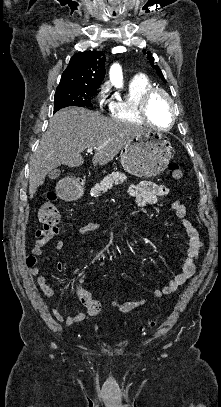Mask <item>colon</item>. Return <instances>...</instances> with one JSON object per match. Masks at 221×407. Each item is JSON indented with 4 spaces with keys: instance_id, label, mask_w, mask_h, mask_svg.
Wrapping results in <instances>:
<instances>
[{
    "instance_id": "1",
    "label": "colon",
    "mask_w": 221,
    "mask_h": 407,
    "mask_svg": "<svg viewBox=\"0 0 221 407\" xmlns=\"http://www.w3.org/2000/svg\"><path fill=\"white\" fill-rule=\"evenodd\" d=\"M168 172L173 180L180 181L183 178V171L179 164L171 162L168 165ZM55 195L49 193L47 200L41 205L38 218L41 223V229L38 230L37 235L43 238H51L55 233L58 232L59 222H60V213L58 207L54 203ZM79 296L81 303L87 308L90 315H97L101 311L100 303L93 299L91 294L81 288L79 290ZM156 325L154 320H150L146 326L141 328L142 331L152 328Z\"/></svg>"
}]
</instances>
